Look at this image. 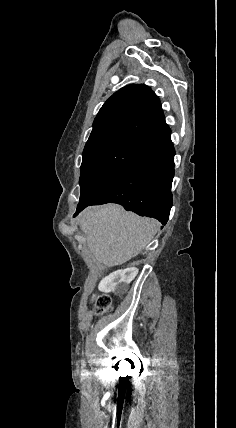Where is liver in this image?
Here are the masks:
<instances>
[{"instance_id":"obj_1","label":"liver","mask_w":236,"mask_h":428,"mask_svg":"<svg viewBox=\"0 0 236 428\" xmlns=\"http://www.w3.org/2000/svg\"><path fill=\"white\" fill-rule=\"evenodd\" d=\"M80 226L94 258L111 268L141 254L153 240L160 224L152 218L125 212L118 204H107L83 210Z\"/></svg>"}]
</instances>
